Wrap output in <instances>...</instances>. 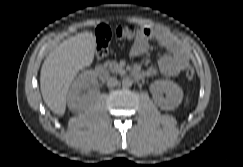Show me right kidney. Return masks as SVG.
<instances>
[{"label": "right kidney", "mask_w": 243, "mask_h": 167, "mask_svg": "<svg viewBox=\"0 0 243 167\" xmlns=\"http://www.w3.org/2000/svg\"><path fill=\"white\" fill-rule=\"evenodd\" d=\"M95 81L96 75L93 71H86L77 77L67 95V104L71 111H80L88 104L89 95L85 91Z\"/></svg>", "instance_id": "ca27d5eb"}]
</instances>
